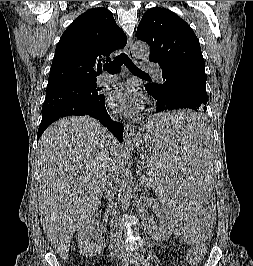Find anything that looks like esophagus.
<instances>
[{
    "label": "esophagus",
    "mask_w": 253,
    "mask_h": 266,
    "mask_svg": "<svg viewBox=\"0 0 253 266\" xmlns=\"http://www.w3.org/2000/svg\"><path fill=\"white\" fill-rule=\"evenodd\" d=\"M126 51L131 58H134L133 52V40L131 38L128 39ZM136 137V130L134 129L133 125L127 123L125 124L124 130V141L126 143L131 142Z\"/></svg>",
    "instance_id": "obj_1"
}]
</instances>
